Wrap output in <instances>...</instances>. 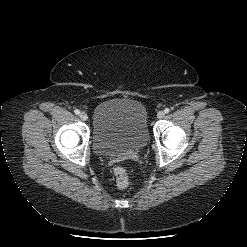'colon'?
Here are the masks:
<instances>
[{
	"label": "colon",
	"instance_id": "colon-1",
	"mask_svg": "<svg viewBox=\"0 0 247 247\" xmlns=\"http://www.w3.org/2000/svg\"><path fill=\"white\" fill-rule=\"evenodd\" d=\"M114 177H115L116 186L119 189L127 188L128 184H129V177H128V174L124 168L116 167L114 169Z\"/></svg>",
	"mask_w": 247,
	"mask_h": 247
}]
</instances>
